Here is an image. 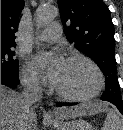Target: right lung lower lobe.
<instances>
[{"label":"right lung lower lobe","mask_w":123,"mask_h":130,"mask_svg":"<svg viewBox=\"0 0 123 130\" xmlns=\"http://www.w3.org/2000/svg\"><path fill=\"white\" fill-rule=\"evenodd\" d=\"M19 83L18 77L1 72V84L8 87H16Z\"/></svg>","instance_id":"obj_1"}]
</instances>
